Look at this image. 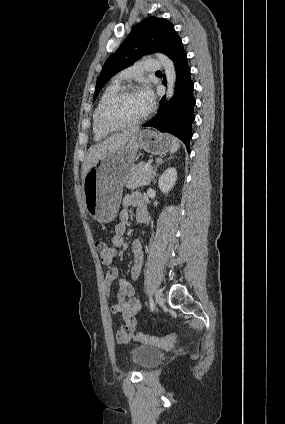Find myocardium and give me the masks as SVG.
Wrapping results in <instances>:
<instances>
[{
	"mask_svg": "<svg viewBox=\"0 0 285 424\" xmlns=\"http://www.w3.org/2000/svg\"><path fill=\"white\" fill-rule=\"evenodd\" d=\"M135 93H137L136 89L128 87V88L120 89L119 91L114 93L112 96H110L104 102V104L101 106V108L98 112L97 124H98L99 128L104 130V131L124 130V129L135 127V126L139 125L140 123H142L143 121H145L147 119V117L149 116V111H146V113L144 115H142L138 119L131 121V122L110 123V122H107L105 120V114H106L107 110L112 105H114L117 101H119L123 97L131 95V94H135Z\"/></svg>",
	"mask_w": 285,
	"mask_h": 424,
	"instance_id": "1",
	"label": "myocardium"
}]
</instances>
